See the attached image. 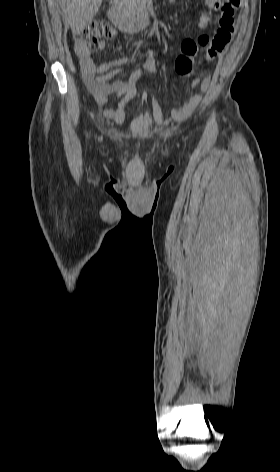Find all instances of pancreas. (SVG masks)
I'll use <instances>...</instances> for the list:
<instances>
[{"mask_svg":"<svg viewBox=\"0 0 280 472\" xmlns=\"http://www.w3.org/2000/svg\"><path fill=\"white\" fill-rule=\"evenodd\" d=\"M120 1H121V2H126V1H128V0H120Z\"/></svg>","mask_w":280,"mask_h":472,"instance_id":"pancreas-1","label":"pancreas"}]
</instances>
